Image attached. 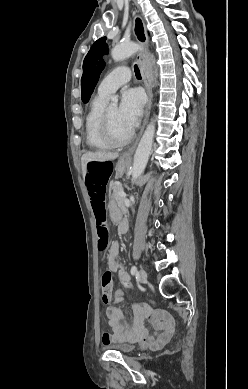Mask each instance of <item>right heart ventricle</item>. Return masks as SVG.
<instances>
[{
	"mask_svg": "<svg viewBox=\"0 0 248 389\" xmlns=\"http://www.w3.org/2000/svg\"><path fill=\"white\" fill-rule=\"evenodd\" d=\"M107 97L99 93L92 99L85 118V137L87 144L94 149L107 150L112 148L102 136V116Z\"/></svg>",
	"mask_w": 248,
	"mask_h": 389,
	"instance_id": "1",
	"label": "right heart ventricle"
}]
</instances>
